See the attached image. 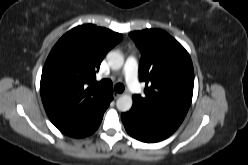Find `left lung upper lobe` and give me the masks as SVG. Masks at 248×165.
Wrapping results in <instances>:
<instances>
[{
  "instance_id": "left-lung-upper-lobe-1",
  "label": "left lung upper lobe",
  "mask_w": 248,
  "mask_h": 165,
  "mask_svg": "<svg viewBox=\"0 0 248 165\" xmlns=\"http://www.w3.org/2000/svg\"><path fill=\"white\" fill-rule=\"evenodd\" d=\"M130 36L141 49L139 79L147 86L144 97L133 96V105L182 123L194 86L193 64L188 52L160 29L134 31Z\"/></svg>"
}]
</instances>
